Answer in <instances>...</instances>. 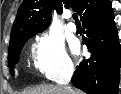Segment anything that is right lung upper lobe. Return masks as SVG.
<instances>
[{
    "instance_id": "right-lung-upper-lobe-1",
    "label": "right lung upper lobe",
    "mask_w": 121,
    "mask_h": 94,
    "mask_svg": "<svg viewBox=\"0 0 121 94\" xmlns=\"http://www.w3.org/2000/svg\"><path fill=\"white\" fill-rule=\"evenodd\" d=\"M108 0H24L11 30L10 42L28 30H45L51 22V12L61 14L63 8L76 7L81 20L105 5Z\"/></svg>"
}]
</instances>
